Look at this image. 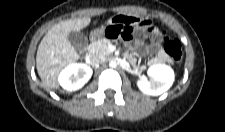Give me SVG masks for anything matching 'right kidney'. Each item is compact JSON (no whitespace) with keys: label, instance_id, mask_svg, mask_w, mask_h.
I'll use <instances>...</instances> for the list:
<instances>
[{"label":"right kidney","instance_id":"ca27d5eb","mask_svg":"<svg viewBox=\"0 0 225 132\" xmlns=\"http://www.w3.org/2000/svg\"><path fill=\"white\" fill-rule=\"evenodd\" d=\"M92 73L91 67L86 64H71L61 71L58 80L65 90L76 91L89 81Z\"/></svg>","mask_w":225,"mask_h":132}]
</instances>
